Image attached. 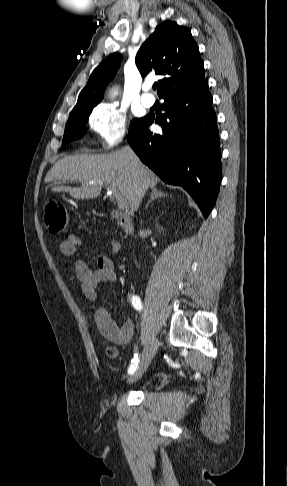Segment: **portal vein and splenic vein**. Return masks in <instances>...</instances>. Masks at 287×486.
<instances>
[{"label": "portal vein and splenic vein", "mask_w": 287, "mask_h": 486, "mask_svg": "<svg viewBox=\"0 0 287 486\" xmlns=\"http://www.w3.org/2000/svg\"><path fill=\"white\" fill-rule=\"evenodd\" d=\"M108 194L114 195V197L117 201V205L120 209H127V207H128L127 199L124 198L116 189L110 188L108 190Z\"/></svg>", "instance_id": "1"}]
</instances>
